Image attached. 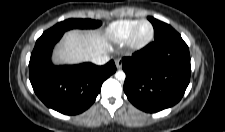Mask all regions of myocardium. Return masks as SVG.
I'll return each mask as SVG.
<instances>
[{
	"label": "myocardium",
	"instance_id": "1",
	"mask_svg": "<svg viewBox=\"0 0 225 132\" xmlns=\"http://www.w3.org/2000/svg\"><path fill=\"white\" fill-rule=\"evenodd\" d=\"M148 24L150 27L149 34L144 38L138 37V31L141 25ZM154 37V28L153 25L148 20H140L137 22V24L133 27L130 34L128 35L126 39V45L132 49V50H141L144 47H146L153 39Z\"/></svg>",
	"mask_w": 225,
	"mask_h": 132
}]
</instances>
